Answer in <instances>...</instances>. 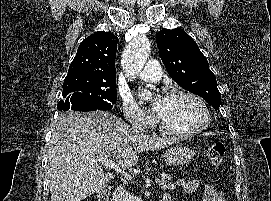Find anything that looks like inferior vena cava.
Segmentation results:
<instances>
[{
	"label": "inferior vena cava",
	"mask_w": 271,
	"mask_h": 201,
	"mask_svg": "<svg viewBox=\"0 0 271 201\" xmlns=\"http://www.w3.org/2000/svg\"><path fill=\"white\" fill-rule=\"evenodd\" d=\"M111 201H130V195L125 188L120 185L115 188Z\"/></svg>",
	"instance_id": "1"
}]
</instances>
